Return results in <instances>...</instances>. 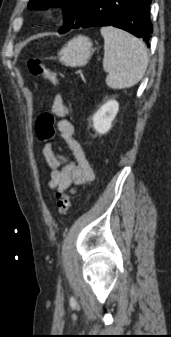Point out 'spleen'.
I'll return each mask as SVG.
<instances>
[{"label":"spleen","mask_w":171,"mask_h":337,"mask_svg":"<svg viewBox=\"0 0 171 337\" xmlns=\"http://www.w3.org/2000/svg\"><path fill=\"white\" fill-rule=\"evenodd\" d=\"M104 38L103 69L108 73L106 84L112 89L136 85L148 66V53L142 40L121 29L102 27Z\"/></svg>","instance_id":"obj_1"}]
</instances>
